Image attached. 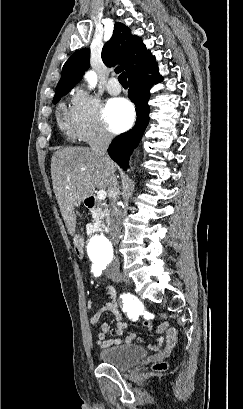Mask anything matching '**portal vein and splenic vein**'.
<instances>
[{
    "label": "portal vein and splenic vein",
    "instance_id": "obj_1",
    "mask_svg": "<svg viewBox=\"0 0 243 409\" xmlns=\"http://www.w3.org/2000/svg\"><path fill=\"white\" fill-rule=\"evenodd\" d=\"M97 198L99 200H104L106 198V191L105 190H99L97 193Z\"/></svg>",
    "mask_w": 243,
    "mask_h": 409
}]
</instances>
